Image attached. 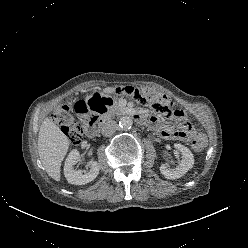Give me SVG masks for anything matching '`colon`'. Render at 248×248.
<instances>
[{
	"label": "colon",
	"mask_w": 248,
	"mask_h": 248,
	"mask_svg": "<svg viewBox=\"0 0 248 248\" xmlns=\"http://www.w3.org/2000/svg\"><path fill=\"white\" fill-rule=\"evenodd\" d=\"M115 92L132 95L139 103L150 106L155 113L165 120L183 119L185 116L184 111L173 109L170 98L165 94L153 90H140L131 86L117 88ZM74 109L81 115H87L88 113V108L83 101L77 102ZM52 118L61 127L71 144L78 145L82 141L83 124L73 117L69 106H59L54 111ZM205 144L204 139L195 138L191 143V147L193 151L199 153L204 150Z\"/></svg>",
	"instance_id": "1"
}]
</instances>
